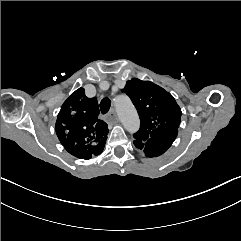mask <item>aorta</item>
I'll use <instances>...</instances> for the list:
<instances>
[{
    "instance_id": "1",
    "label": "aorta",
    "mask_w": 241,
    "mask_h": 241,
    "mask_svg": "<svg viewBox=\"0 0 241 241\" xmlns=\"http://www.w3.org/2000/svg\"><path fill=\"white\" fill-rule=\"evenodd\" d=\"M115 106L117 114L125 129L130 133L136 132L139 129L140 122L138 114L130 99L127 97H118L115 100Z\"/></svg>"
}]
</instances>
